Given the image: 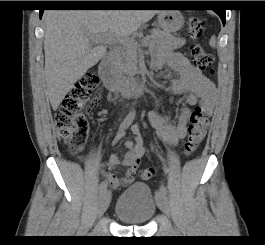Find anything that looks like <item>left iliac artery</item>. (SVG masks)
<instances>
[{"mask_svg": "<svg viewBox=\"0 0 265 245\" xmlns=\"http://www.w3.org/2000/svg\"><path fill=\"white\" fill-rule=\"evenodd\" d=\"M167 187L165 185H161L160 186V190L159 191H156V197L160 194V193H164V194H167Z\"/></svg>", "mask_w": 265, "mask_h": 245, "instance_id": "left-iliac-artery-1", "label": "left iliac artery"}]
</instances>
